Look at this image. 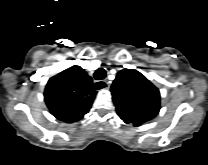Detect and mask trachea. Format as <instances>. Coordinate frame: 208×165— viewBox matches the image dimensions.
Listing matches in <instances>:
<instances>
[{"instance_id":"trachea-1","label":"trachea","mask_w":208,"mask_h":165,"mask_svg":"<svg viewBox=\"0 0 208 165\" xmlns=\"http://www.w3.org/2000/svg\"><path fill=\"white\" fill-rule=\"evenodd\" d=\"M105 77H106V71H105V69H103V68L97 69V70L95 71V73H94V78H95L96 80H102V79H104ZM101 88H103L102 85L96 84V89H101Z\"/></svg>"}]
</instances>
